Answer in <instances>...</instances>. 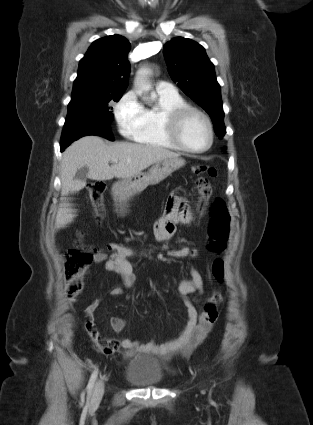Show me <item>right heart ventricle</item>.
<instances>
[{
  "label": "right heart ventricle",
  "instance_id": "obj_1",
  "mask_svg": "<svg viewBox=\"0 0 313 425\" xmlns=\"http://www.w3.org/2000/svg\"><path fill=\"white\" fill-rule=\"evenodd\" d=\"M178 94H166L156 90L155 104L144 108V125L133 137L136 142L158 148L181 150L168 136L164 117L169 111L185 106Z\"/></svg>",
  "mask_w": 313,
  "mask_h": 425
}]
</instances>
